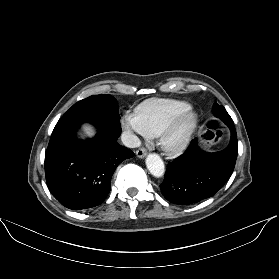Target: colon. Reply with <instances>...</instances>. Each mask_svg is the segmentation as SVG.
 <instances>
[{"label": "colon", "mask_w": 279, "mask_h": 279, "mask_svg": "<svg viewBox=\"0 0 279 279\" xmlns=\"http://www.w3.org/2000/svg\"><path fill=\"white\" fill-rule=\"evenodd\" d=\"M201 140L206 146L217 144L222 139V131L215 121H210L201 133Z\"/></svg>", "instance_id": "1"}]
</instances>
